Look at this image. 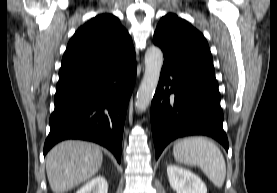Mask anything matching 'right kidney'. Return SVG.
<instances>
[{"instance_id":"ca27d5eb","label":"right kidney","mask_w":277,"mask_h":193,"mask_svg":"<svg viewBox=\"0 0 277 193\" xmlns=\"http://www.w3.org/2000/svg\"><path fill=\"white\" fill-rule=\"evenodd\" d=\"M76 193H108V184L104 177L97 176L87 182Z\"/></svg>"}]
</instances>
